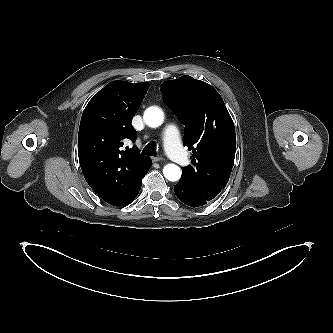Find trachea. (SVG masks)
<instances>
[{
  "instance_id": "trachea-1",
  "label": "trachea",
  "mask_w": 333,
  "mask_h": 333,
  "mask_svg": "<svg viewBox=\"0 0 333 333\" xmlns=\"http://www.w3.org/2000/svg\"><path fill=\"white\" fill-rule=\"evenodd\" d=\"M142 154L156 156V144L153 142L148 143L142 150Z\"/></svg>"
}]
</instances>
